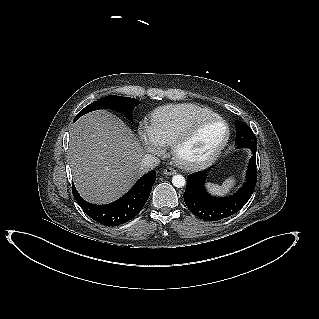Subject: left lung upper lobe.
I'll use <instances>...</instances> for the list:
<instances>
[{
	"instance_id": "5c2ea615",
	"label": "left lung upper lobe",
	"mask_w": 319,
	"mask_h": 319,
	"mask_svg": "<svg viewBox=\"0 0 319 319\" xmlns=\"http://www.w3.org/2000/svg\"><path fill=\"white\" fill-rule=\"evenodd\" d=\"M236 145L238 148L257 149V139L251 128L244 122L236 123Z\"/></svg>"
}]
</instances>
